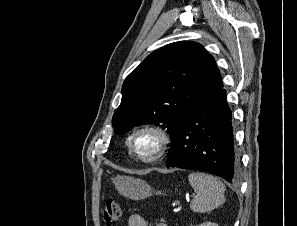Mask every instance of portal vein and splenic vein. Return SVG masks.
Wrapping results in <instances>:
<instances>
[{
    "instance_id": "18ae733b",
    "label": "portal vein and splenic vein",
    "mask_w": 297,
    "mask_h": 226,
    "mask_svg": "<svg viewBox=\"0 0 297 226\" xmlns=\"http://www.w3.org/2000/svg\"><path fill=\"white\" fill-rule=\"evenodd\" d=\"M180 204V202L179 201H176V205H179Z\"/></svg>"
}]
</instances>
